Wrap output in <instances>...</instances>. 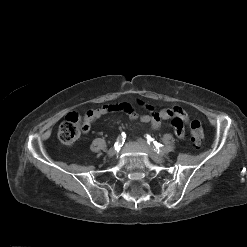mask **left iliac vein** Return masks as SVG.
<instances>
[{
	"mask_svg": "<svg viewBox=\"0 0 247 247\" xmlns=\"http://www.w3.org/2000/svg\"><path fill=\"white\" fill-rule=\"evenodd\" d=\"M138 142L144 147L147 154L151 157L152 160H154L156 163H163L165 161V158L161 154H157L150 145L147 144V142L139 138Z\"/></svg>",
	"mask_w": 247,
	"mask_h": 247,
	"instance_id": "obj_1",
	"label": "left iliac vein"
}]
</instances>
